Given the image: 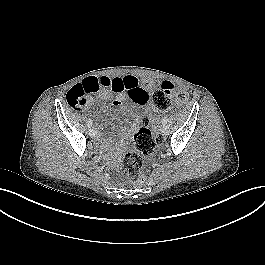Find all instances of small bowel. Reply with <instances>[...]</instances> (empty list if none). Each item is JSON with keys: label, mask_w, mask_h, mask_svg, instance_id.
Masks as SVG:
<instances>
[{"label": "small bowel", "mask_w": 265, "mask_h": 265, "mask_svg": "<svg viewBox=\"0 0 265 265\" xmlns=\"http://www.w3.org/2000/svg\"><path fill=\"white\" fill-rule=\"evenodd\" d=\"M92 80L98 85L97 94L95 96L91 95L93 93L88 94L84 106H91L97 98L107 100L112 97V94H116L112 105L114 107H121L128 96V98L135 102L133 128H136L141 122L143 112L148 110L152 101L150 93L155 86L154 82L146 81L140 83L135 76L131 75L123 77L102 76L93 78ZM127 135L128 132L126 131L122 133L123 138H126Z\"/></svg>", "instance_id": "obj_1"}]
</instances>
